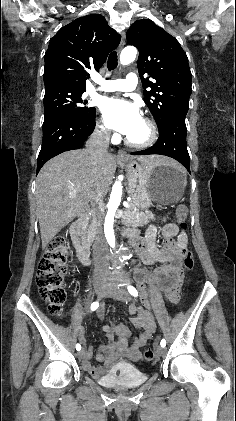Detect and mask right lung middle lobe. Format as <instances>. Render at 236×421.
<instances>
[{
	"instance_id": "right-lung-middle-lobe-1",
	"label": "right lung middle lobe",
	"mask_w": 236,
	"mask_h": 421,
	"mask_svg": "<svg viewBox=\"0 0 236 421\" xmlns=\"http://www.w3.org/2000/svg\"><path fill=\"white\" fill-rule=\"evenodd\" d=\"M85 90L46 87L44 96V122L59 116H66L86 121L96 111L86 107L87 100L82 99Z\"/></svg>"
}]
</instances>
